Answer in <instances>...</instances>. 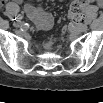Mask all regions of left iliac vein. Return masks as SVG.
<instances>
[{
    "label": "left iliac vein",
    "instance_id": "obj_1",
    "mask_svg": "<svg viewBox=\"0 0 103 103\" xmlns=\"http://www.w3.org/2000/svg\"><path fill=\"white\" fill-rule=\"evenodd\" d=\"M77 29H78L80 32H85V31L88 29V27H87V25H85V24H81V25H79V26L77 27Z\"/></svg>",
    "mask_w": 103,
    "mask_h": 103
}]
</instances>
